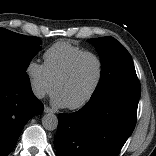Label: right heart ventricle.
I'll return each instance as SVG.
<instances>
[{
  "label": "right heart ventricle",
  "instance_id": "1",
  "mask_svg": "<svg viewBox=\"0 0 156 156\" xmlns=\"http://www.w3.org/2000/svg\"><path fill=\"white\" fill-rule=\"evenodd\" d=\"M85 49L66 41H59L44 53V65L51 79L56 82L69 63Z\"/></svg>",
  "mask_w": 156,
  "mask_h": 156
}]
</instances>
